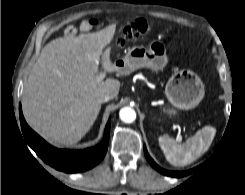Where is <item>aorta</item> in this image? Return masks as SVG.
<instances>
[{
  "mask_svg": "<svg viewBox=\"0 0 245 195\" xmlns=\"http://www.w3.org/2000/svg\"><path fill=\"white\" fill-rule=\"evenodd\" d=\"M120 119L125 123H132L136 119V112L130 107H124L119 112Z\"/></svg>",
  "mask_w": 245,
  "mask_h": 195,
  "instance_id": "1",
  "label": "aorta"
}]
</instances>
